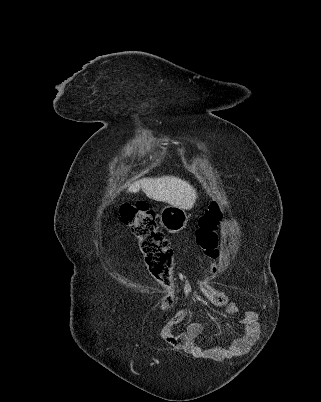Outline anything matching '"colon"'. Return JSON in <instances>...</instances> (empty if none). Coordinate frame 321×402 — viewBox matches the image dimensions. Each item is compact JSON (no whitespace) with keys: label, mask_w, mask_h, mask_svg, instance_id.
I'll use <instances>...</instances> for the list:
<instances>
[{"label":"colon","mask_w":321,"mask_h":402,"mask_svg":"<svg viewBox=\"0 0 321 402\" xmlns=\"http://www.w3.org/2000/svg\"><path fill=\"white\" fill-rule=\"evenodd\" d=\"M121 221L130 228L137 239L138 247L143 255L144 263L149 273L159 282L165 292H170L174 286L173 249L164 233L159 229L153 209L144 203L124 205L119 212ZM223 219V214L217 203H212L199 217L196 230V243L205 256L211 260V273L215 271V261L219 256V240L217 229ZM199 281L198 293L207 296L209 301L222 307L227 303L224 292L214 289L202 275ZM174 303L173 294H167L161 301V307L168 310Z\"/></svg>","instance_id":"obj_1"}]
</instances>
